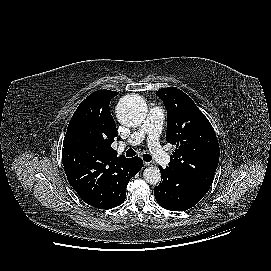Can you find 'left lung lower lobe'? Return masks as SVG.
Masks as SVG:
<instances>
[{
  "label": "left lung lower lobe",
  "instance_id": "1",
  "mask_svg": "<svg viewBox=\"0 0 271 271\" xmlns=\"http://www.w3.org/2000/svg\"><path fill=\"white\" fill-rule=\"evenodd\" d=\"M160 184L154 188L160 206L171 211H185L197 204L210 186L174 167H159Z\"/></svg>",
  "mask_w": 271,
  "mask_h": 271
}]
</instances>
